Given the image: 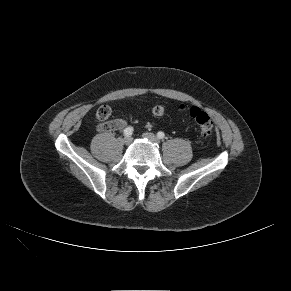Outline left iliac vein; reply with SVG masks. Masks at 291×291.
<instances>
[{
  "mask_svg": "<svg viewBox=\"0 0 291 291\" xmlns=\"http://www.w3.org/2000/svg\"><path fill=\"white\" fill-rule=\"evenodd\" d=\"M143 137L154 143H159L158 138L153 133L146 132L143 134Z\"/></svg>",
  "mask_w": 291,
  "mask_h": 291,
  "instance_id": "left-iliac-vein-1",
  "label": "left iliac vein"
}]
</instances>
